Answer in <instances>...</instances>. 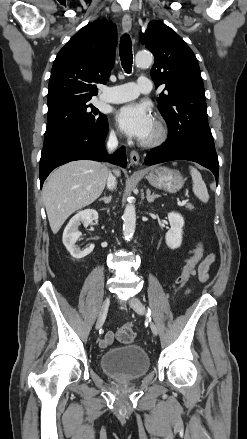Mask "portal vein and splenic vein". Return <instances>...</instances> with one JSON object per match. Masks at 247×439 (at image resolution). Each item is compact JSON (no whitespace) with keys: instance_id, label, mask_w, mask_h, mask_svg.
Listing matches in <instances>:
<instances>
[{"instance_id":"1","label":"portal vein and splenic vein","mask_w":247,"mask_h":439,"mask_svg":"<svg viewBox=\"0 0 247 439\" xmlns=\"http://www.w3.org/2000/svg\"><path fill=\"white\" fill-rule=\"evenodd\" d=\"M186 202H187L186 200H183L182 202L179 203V205H180V206H183V205L186 204Z\"/></svg>"}]
</instances>
